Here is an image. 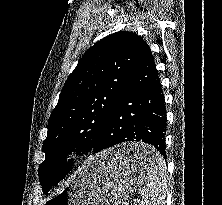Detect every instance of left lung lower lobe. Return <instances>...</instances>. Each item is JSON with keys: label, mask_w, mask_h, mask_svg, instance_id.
<instances>
[{"label": "left lung lower lobe", "mask_w": 222, "mask_h": 205, "mask_svg": "<svg viewBox=\"0 0 222 205\" xmlns=\"http://www.w3.org/2000/svg\"><path fill=\"white\" fill-rule=\"evenodd\" d=\"M166 113L162 86L153 55L147 45L121 91L107 123L91 151L97 153L114 145L141 141L153 145L165 154ZM63 154L56 163L60 169L66 163ZM153 155L136 151L129 159L134 165H149ZM72 162L64 168L69 172Z\"/></svg>", "instance_id": "1"}]
</instances>
